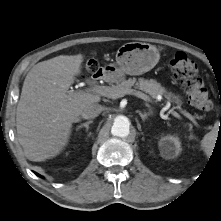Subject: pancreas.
Returning a JSON list of instances; mask_svg holds the SVG:
<instances>
[{
	"label": "pancreas",
	"mask_w": 221,
	"mask_h": 221,
	"mask_svg": "<svg viewBox=\"0 0 221 221\" xmlns=\"http://www.w3.org/2000/svg\"><path fill=\"white\" fill-rule=\"evenodd\" d=\"M136 89L142 90L145 93L149 94L152 98H157L158 95H166V90L158 83L156 80L153 79H144L139 78H129L128 80H122L117 85H112L111 88L116 91L120 92L123 90L131 89L132 87ZM168 97H173L176 103L180 104V100L177 96H172L171 94L166 95Z\"/></svg>",
	"instance_id": "obj_1"
}]
</instances>
